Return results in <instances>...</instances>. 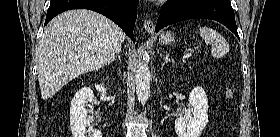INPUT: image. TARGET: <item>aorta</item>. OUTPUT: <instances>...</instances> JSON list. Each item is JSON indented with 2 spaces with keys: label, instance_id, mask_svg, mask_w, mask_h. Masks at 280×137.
Wrapping results in <instances>:
<instances>
[{
  "label": "aorta",
  "instance_id": "762f6f07",
  "mask_svg": "<svg viewBox=\"0 0 280 137\" xmlns=\"http://www.w3.org/2000/svg\"><path fill=\"white\" fill-rule=\"evenodd\" d=\"M148 54L142 50L143 61H139L136 71V93L139 102L144 105L150 95V71L146 63Z\"/></svg>",
  "mask_w": 280,
  "mask_h": 137
}]
</instances>
